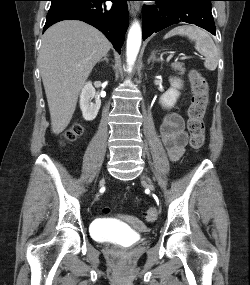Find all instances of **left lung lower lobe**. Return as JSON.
I'll use <instances>...</instances> for the list:
<instances>
[{
    "label": "left lung lower lobe",
    "instance_id": "obj_1",
    "mask_svg": "<svg viewBox=\"0 0 250 285\" xmlns=\"http://www.w3.org/2000/svg\"><path fill=\"white\" fill-rule=\"evenodd\" d=\"M155 5L143 7V39L164 28L186 22L198 25L216 35L211 5L199 0H152Z\"/></svg>",
    "mask_w": 250,
    "mask_h": 285
}]
</instances>
